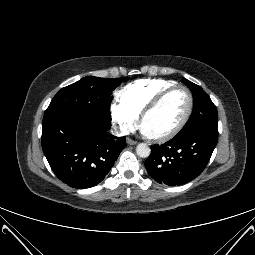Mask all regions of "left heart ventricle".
Wrapping results in <instances>:
<instances>
[{"label": "left heart ventricle", "instance_id": "1", "mask_svg": "<svg viewBox=\"0 0 255 255\" xmlns=\"http://www.w3.org/2000/svg\"><path fill=\"white\" fill-rule=\"evenodd\" d=\"M188 108V95L184 90H176L169 94L163 102L150 113L144 126L151 135H161L178 125Z\"/></svg>", "mask_w": 255, "mask_h": 255}]
</instances>
